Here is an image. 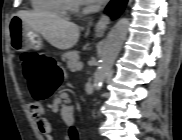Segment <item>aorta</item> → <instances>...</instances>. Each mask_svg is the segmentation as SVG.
I'll return each instance as SVG.
<instances>
[{
    "instance_id": "aorta-1",
    "label": "aorta",
    "mask_w": 182,
    "mask_h": 140,
    "mask_svg": "<svg viewBox=\"0 0 182 140\" xmlns=\"http://www.w3.org/2000/svg\"><path fill=\"white\" fill-rule=\"evenodd\" d=\"M129 20L120 19L109 32L100 55V65L94 76V88H99L105 80L109 70L112 68L121 46L127 36Z\"/></svg>"
}]
</instances>
